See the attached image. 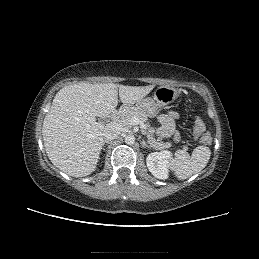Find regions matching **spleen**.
Instances as JSON below:
<instances>
[{"label": "spleen", "instance_id": "obj_1", "mask_svg": "<svg viewBox=\"0 0 259 259\" xmlns=\"http://www.w3.org/2000/svg\"><path fill=\"white\" fill-rule=\"evenodd\" d=\"M210 155V148L204 145L196 147L191 156L187 152L179 150L176 152L175 158L170 161L169 167L178 179L184 180L192 176L193 173L204 169Z\"/></svg>", "mask_w": 259, "mask_h": 259}]
</instances>
